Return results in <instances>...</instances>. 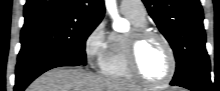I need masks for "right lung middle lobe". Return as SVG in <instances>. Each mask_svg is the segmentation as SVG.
<instances>
[{
    "label": "right lung middle lobe",
    "instance_id": "right-lung-middle-lobe-1",
    "mask_svg": "<svg viewBox=\"0 0 220 91\" xmlns=\"http://www.w3.org/2000/svg\"><path fill=\"white\" fill-rule=\"evenodd\" d=\"M100 21L52 17L24 24L18 60L46 53L72 57L86 64L85 41Z\"/></svg>",
    "mask_w": 220,
    "mask_h": 91
}]
</instances>
